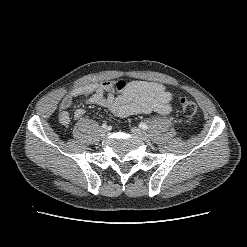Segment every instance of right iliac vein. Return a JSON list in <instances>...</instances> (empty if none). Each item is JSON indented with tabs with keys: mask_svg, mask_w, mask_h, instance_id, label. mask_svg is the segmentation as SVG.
<instances>
[{
	"mask_svg": "<svg viewBox=\"0 0 247 247\" xmlns=\"http://www.w3.org/2000/svg\"><path fill=\"white\" fill-rule=\"evenodd\" d=\"M107 132H108V131H107L106 128H101V129H100V135H101L102 137L106 136Z\"/></svg>",
	"mask_w": 247,
	"mask_h": 247,
	"instance_id": "1",
	"label": "right iliac vein"
}]
</instances>
